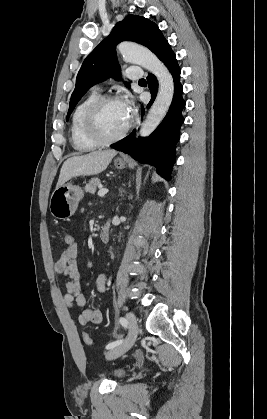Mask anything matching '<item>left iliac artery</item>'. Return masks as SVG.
Listing matches in <instances>:
<instances>
[{"instance_id": "44dca946", "label": "left iliac artery", "mask_w": 267, "mask_h": 419, "mask_svg": "<svg viewBox=\"0 0 267 419\" xmlns=\"http://www.w3.org/2000/svg\"><path fill=\"white\" fill-rule=\"evenodd\" d=\"M119 322L121 323V325L123 326V327H127V325H128V322H127V320L124 318V317H121L120 319H119ZM122 341H123V339H119V340H116V341H113V342H111V343H109L107 346H106V349H112V348H114V347H116V346H118L119 344H121L122 343Z\"/></svg>"}]
</instances>
